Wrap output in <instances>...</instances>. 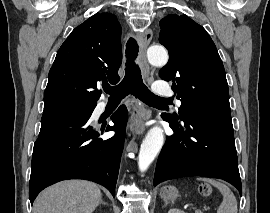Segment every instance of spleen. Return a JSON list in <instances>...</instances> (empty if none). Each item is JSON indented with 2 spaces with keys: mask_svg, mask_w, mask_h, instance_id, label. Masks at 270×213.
Here are the masks:
<instances>
[{
  "mask_svg": "<svg viewBox=\"0 0 270 213\" xmlns=\"http://www.w3.org/2000/svg\"><path fill=\"white\" fill-rule=\"evenodd\" d=\"M198 180H203L209 182L223 195V201L218 207L217 213H237V200L231 190L223 183L210 179V178H198Z\"/></svg>",
  "mask_w": 270,
  "mask_h": 213,
  "instance_id": "obj_1",
  "label": "spleen"
}]
</instances>
